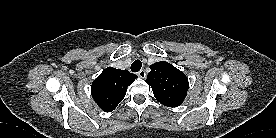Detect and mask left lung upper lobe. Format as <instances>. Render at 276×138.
<instances>
[{"label": "left lung upper lobe", "instance_id": "left-lung-upper-lobe-1", "mask_svg": "<svg viewBox=\"0 0 276 138\" xmlns=\"http://www.w3.org/2000/svg\"><path fill=\"white\" fill-rule=\"evenodd\" d=\"M150 69L146 82L152 87L155 98L168 107L182 104L189 86L186 75L164 61L152 64Z\"/></svg>", "mask_w": 276, "mask_h": 138}]
</instances>
